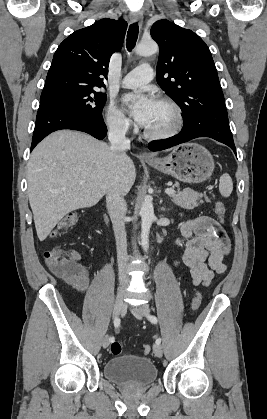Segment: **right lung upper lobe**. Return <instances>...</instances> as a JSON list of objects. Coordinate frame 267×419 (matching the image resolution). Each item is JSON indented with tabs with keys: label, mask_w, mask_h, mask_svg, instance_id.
<instances>
[{
	"label": "right lung upper lobe",
	"mask_w": 267,
	"mask_h": 419,
	"mask_svg": "<svg viewBox=\"0 0 267 419\" xmlns=\"http://www.w3.org/2000/svg\"><path fill=\"white\" fill-rule=\"evenodd\" d=\"M127 22L104 18L68 36L56 50L42 93L105 87L111 55L123 45Z\"/></svg>",
	"instance_id": "right-lung-upper-lobe-1"
}]
</instances>
